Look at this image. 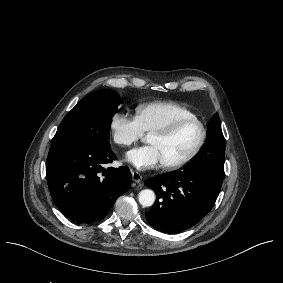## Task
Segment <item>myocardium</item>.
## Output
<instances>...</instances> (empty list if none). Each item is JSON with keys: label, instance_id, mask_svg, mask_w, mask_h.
Wrapping results in <instances>:
<instances>
[{"label": "myocardium", "instance_id": "1", "mask_svg": "<svg viewBox=\"0 0 283 283\" xmlns=\"http://www.w3.org/2000/svg\"><path fill=\"white\" fill-rule=\"evenodd\" d=\"M188 122H194L199 126L200 128L199 139L196 145L194 146V148L192 149V151L183 160L176 163H165L166 168L169 170L182 169L187 165H189L198 156L207 138V127L201 119L192 115V116L180 117L175 121H173L165 129L152 133V135L158 136L160 138L168 139L176 133V131L179 129L180 126Z\"/></svg>", "mask_w": 283, "mask_h": 283}]
</instances>
